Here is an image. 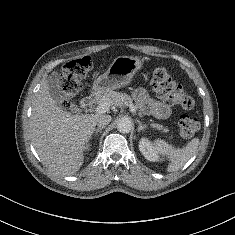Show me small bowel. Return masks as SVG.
Wrapping results in <instances>:
<instances>
[{
	"label": "small bowel",
	"mask_w": 235,
	"mask_h": 235,
	"mask_svg": "<svg viewBox=\"0 0 235 235\" xmlns=\"http://www.w3.org/2000/svg\"><path fill=\"white\" fill-rule=\"evenodd\" d=\"M133 97L140 109L157 118H168L172 110L169 105L164 102L152 99L147 91L143 88H138L134 91Z\"/></svg>",
	"instance_id": "obj_1"
}]
</instances>
